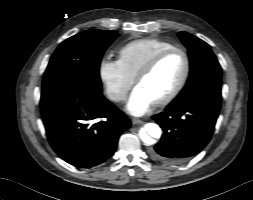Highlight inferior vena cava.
Listing matches in <instances>:
<instances>
[{"instance_id": "1", "label": "inferior vena cava", "mask_w": 253, "mask_h": 200, "mask_svg": "<svg viewBox=\"0 0 253 200\" xmlns=\"http://www.w3.org/2000/svg\"><path fill=\"white\" fill-rule=\"evenodd\" d=\"M112 99L115 100V101H118V100H125L126 99V94L124 93H117V94H114L112 96Z\"/></svg>"}]
</instances>
